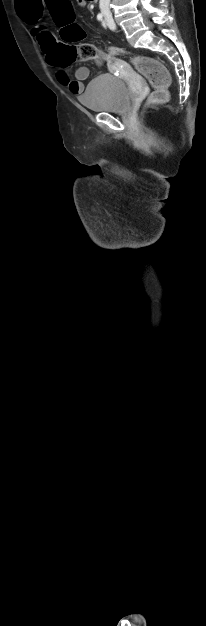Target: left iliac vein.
Here are the masks:
<instances>
[{
  "label": "left iliac vein",
  "instance_id": "4c4485c4",
  "mask_svg": "<svg viewBox=\"0 0 206 626\" xmlns=\"http://www.w3.org/2000/svg\"><path fill=\"white\" fill-rule=\"evenodd\" d=\"M107 25H108V27H109L111 30H115V29H116V24H115V22H114V20H113V19H109V20L107 21Z\"/></svg>",
  "mask_w": 206,
  "mask_h": 626
}]
</instances>
